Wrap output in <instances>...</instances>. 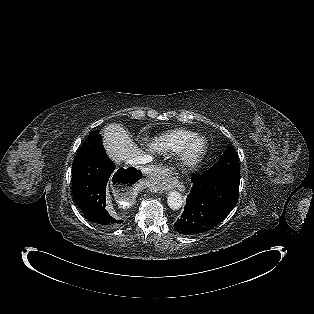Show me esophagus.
Instances as JSON below:
<instances>
[{
    "label": "esophagus",
    "mask_w": 314,
    "mask_h": 314,
    "mask_svg": "<svg viewBox=\"0 0 314 314\" xmlns=\"http://www.w3.org/2000/svg\"><path fill=\"white\" fill-rule=\"evenodd\" d=\"M154 169H156V170H159L160 169V167H155ZM157 172V176H161V175H163V173L162 172H160V171H156ZM164 182H163V184H164V189L165 190H167V189H171V188H173L174 187V184H172V182H170L169 181V179H164L163 180ZM178 187V189L180 190V191H182V186L181 185H179V186H177Z\"/></svg>",
    "instance_id": "esophagus-1"
}]
</instances>
